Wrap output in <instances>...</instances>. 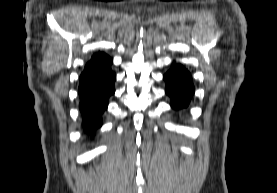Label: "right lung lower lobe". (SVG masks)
<instances>
[{
  "label": "right lung lower lobe",
  "instance_id": "right-lung-lower-lobe-1",
  "mask_svg": "<svg viewBox=\"0 0 277 193\" xmlns=\"http://www.w3.org/2000/svg\"><path fill=\"white\" fill-rule=\"evenodd\" d=\"M111 64L112 60L104 53L95 54L79 77V109L86 133L94 134L101 127L102 113L108 106V98L115 92L116 75Z\"/></svg>",
  "mask_w": 277,
  "mask_h": 193
}]
</instances>
